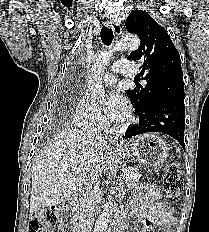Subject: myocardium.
<instances>
[{
	"label": "myocardium",
	"instance_id": "obj_1",
	"mask_svg": "<svg viewBox=\"0 0 209 232\" xmlns=\"http://www.w3.org/2000/svg\"><path fill=\"white\" fill-rule=\"evenodd\" d=\"M132 122V118L129 116L126 118V120L117 127L118 130H123L125 129L130 123Z\"/></svg>",
	"mask_w": 209,
	"mask_h": 232
}]
</instances>
